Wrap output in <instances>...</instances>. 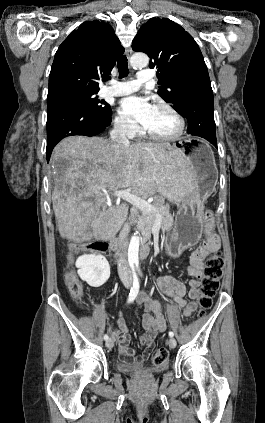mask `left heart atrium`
I'll return each instance as SVG.
<instances>
[{
	"label": "left heart atrium",
	"instance_id": "obj_1",
	"mask_svg": "<svg viewBox=\"0 0 265 423\" xmlns=\"http://www.w3.org/2000/svg\"><path fill=\"white\" fill-rule=\"evenodd\" d=\"M154 107L146 98L129 96L121 100L119 111L123 116L144 126L148 122Z\"/></svg>",
	"mask_w": 265,
	"mask_h": 423
}]
</instances>
